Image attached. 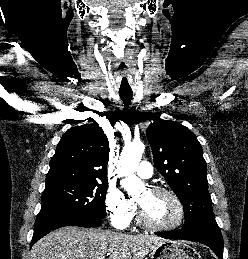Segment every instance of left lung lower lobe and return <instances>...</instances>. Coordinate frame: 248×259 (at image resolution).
<instances>
[{
	"label": "left lung lower lobe",
	"mask_w": 248,
	"mask_h": 259,
	"mask_svg": "<svg viewBox=\"0 0 248 259\" xmlns=\"http://www.w3.org/2000/svg\"><path fill=\"white\" fill-rule=\"evenodd\" d=\"M156 235L166 239L189 240L205 244L213 250L219 259H223V240L216 221L182 228L177 231L156 233Z\"/></svg>",
	"instance_id": "left-lung-lower-lobe-1"
}]
</instances>
